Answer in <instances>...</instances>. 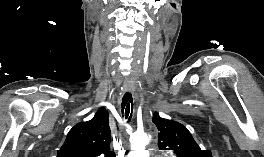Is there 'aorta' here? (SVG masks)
Returning a JSON list of instances; mask_svg holds the SVG:
<instances>
[{
    "instance_id": "762f6f07",
    "label": "aorta",
    "mask_w": 264,
    "mask_h": 157,
    "mask_svg": "<svg viewBox=\"0 0 264 157\" xmlns=\"http://www.w3.org/2000/svg\"><path fill=\"white\" fill-rule=\"evenodd\" d=\"M149 143V138L146 134H134L131 138V147L135 157H148L146 146Z\"/></svg>"
}]
</instances>
